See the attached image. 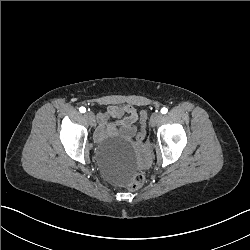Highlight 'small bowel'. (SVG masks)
I'll return each mask as SVG.
<instances>
[{
    "instance_id": "c3829d8e",
    "label": "small bowel",
    "mask_w": 250,
    "mask_h": 250,
    "mask_svg": "<svg viewBox=\"0 0 250 250\" xmlns=\"http://www.w3.org/2000/svg\"><path fill=\"white\" fill-rule=\"evenodd\" d=\"M110 117L116 118V122L108 123ZM137 119L135 107L131 105L110 106L99 116V126L95 131V139L100 141L106 134L132 138L137 133L134 125Z\"/></svg>"
}]
</instances>
